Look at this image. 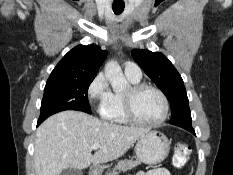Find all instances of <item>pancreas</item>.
I'll return each mask as SVG.
<instances>
[{"instance_id": "1", "label": "pancreas", "mask_w": 233, "mask_h": 175, "mask_svg": "<svg viewBox=\"0 0 233 175\" xmlns=\"http://www.w3.org/2000/svg\"><path fill=\"white\" fill-rule=\"evenodd\" d=\"M140 165V161L138 160H120L118 164L115 166L114 170L107 175H118L119 172H126L127 170H131L136 166Z\"/></svg>"}]
</instances>
